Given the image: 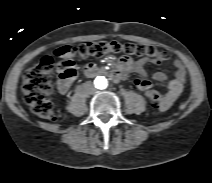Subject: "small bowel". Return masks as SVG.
<instances>
[{
    "label": "small bowel",
    "instance_id": "small-bowel-1",
    "mask_svg": "<svg viewBox=\"0 0 212 183\" xmlns=\"http://www.w3.org/2000/svg\"><path fill=\"white\" fill-rule=\"evenodd\" d=\"M152 61L148 58H141L136 61H133L129 57H122L118 62V69L122 74H126L129 72H135L139 76L134 79L135 86L140 91H145L146 86L145 82L149 80L145 79L147 76V72L145 69L146 63ZM175 77L173 79H168V76L161 71L155 72L152 75V79L156 82L166 83L167 84V93L165 95V100L159 106L158 110L163 112L168 110L173 103L176 101L178 96L181 94L185 81H186V70L183 64L180 61H175ZM74 78H65L61 72H59V79L57 81L58 91L61 94H66L73 82ZM150 87H152V83L150 82Z\"/></svg>",
    "mask_w": 212,
    "mask_h": 183
}]
</instances>
